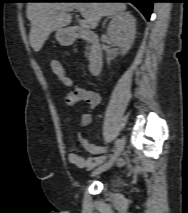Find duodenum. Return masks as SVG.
I'll return each mask as SVG.
<instances>
[{"label":"duodenum","instance_id":"1","mask_svg":"<svg viewBox=\"0 0 188 213\" xmlns=\"http://www.w3.org/2000/svg\"><path fill=\"white\" fill-rule=\"evenodd\" d=\"M71 41L85 40L90 44V62L89 72L92 75H97L101 72L103 67V49L100 43L99 37L86 29L80 27H72L71 29Z\"/></svg>","mask_w":188,"mask_h":213}]
</instances>
